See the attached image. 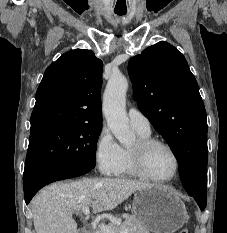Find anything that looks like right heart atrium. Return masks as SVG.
<instances>
[{"mask_svg":"<svg viewBox=\"0 0 227 233\" xmlns=\"http://www.w3.org/2000/svg\"><path fill=\"white\" fill-rule=\"evenodd\" d=\"M96 163L102 173L116 175L123 163V148L118 144L108 127L103 126L94 145Z\"/></svg>","mask_w":227,"mask_h":233,"instance_id":"obj_1","label":"right heart atrium"}]
</instances>
